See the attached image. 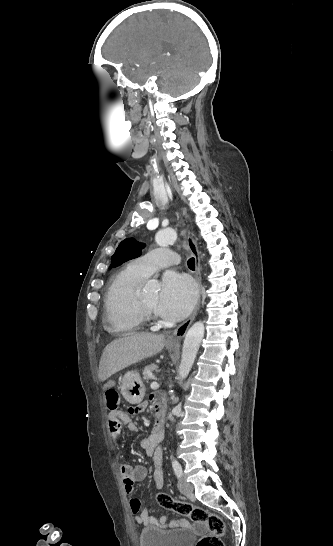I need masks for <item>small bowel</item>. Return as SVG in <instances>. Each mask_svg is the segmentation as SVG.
<instances>
[{
	"label": "small bowel",
	"mask_w": 333,
	"mask_h": 546,
	"mask_svg": "<svg viewBox=\"0 0 333 546\" xmlns=\"http://www.w3.org/2000/svg\"><path fill=\"white\" fill-rule=\"evenodd\" d=\"M116 385L117 382L113 378H110L106 381V386L110 389L115 388ZM149 402L155 410L156 416L164 417L165 401L163 395L151 394L149 397ZM143 406L144 405H142V407ZM121 423L127 425L129 430L131 431H138V426L132 421L128 414L118 409L110 410L108 413V427L110 434L114 439L119 438L121 435ZM163 436L164 432L162 436H157L153 432L149 437L141 438L139 440L140 447L145 450L148 456H152L153 458V482L155 487L157 488H161L164 484V475L162 469L163 450L160 446V442L162 441ZM120 475L122 477L126 493L129 495H133L135 482L141 481L146 477L147 469L142 465L131 466L129 464H122L120 466ZM130 510L135 515L136 523L143 526L153 525L160 529H166L180 527L186 522L185 520L168 521V518L166 516H161L159 520H157L154 516L151 515L149 508L145 507L141 509V503L136 498H132L130 500Z\"/></svg>",
	"instance_id": "obj_1"
}]
</instances>
